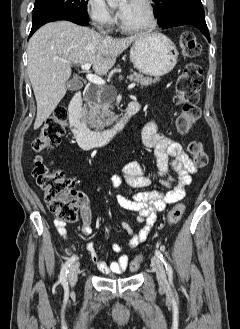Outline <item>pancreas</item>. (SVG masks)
Returning <instances> with one entry per match:
<instances>
[{"label": "pancreas", "mask_w": 240, "mask_h": 329, "mask_svg": "<svg viewBox=\"0 0 240 329\" xmlns=\"http://www.w3.org/2000/svg\"><path fill=\"white\" fill-rule=\"evenodd\" d=\"M127 79L139 83L141 87H147L159 81V78L144 77L138 73L127 76ZM96 90L95 96L91 95L90 91L86 95V117L89 126L100 131L115 120V115L110 110L114 95L107 98L105 88L98 87Z\"/></svg>", "instance_id": "1"}]
</instances>
